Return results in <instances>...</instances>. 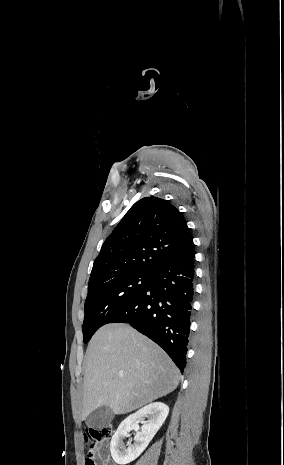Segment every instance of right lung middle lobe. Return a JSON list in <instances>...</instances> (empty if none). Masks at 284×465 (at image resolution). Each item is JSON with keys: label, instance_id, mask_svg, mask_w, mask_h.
Returning <instances> with one entry per match:
<instances>
[{"label": "right lung middle lobe", "instance_id": "right-lung-middle-lobe-1", "mask_svg": "<svg viewBox=\"0 0 284 465\" xmlns=\"http://www.w3.org/2000/svg\"><path fill=\"white\" fill-rule=\"evenodd\" d=\"M152 275L127 274L104 280L88 288L83 322L84 343L125 308L148 284Z\"/></svg>", "mask_w": 284, "mask_h": 465}]
</instances>
